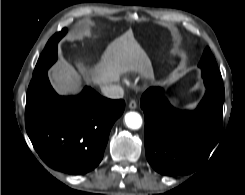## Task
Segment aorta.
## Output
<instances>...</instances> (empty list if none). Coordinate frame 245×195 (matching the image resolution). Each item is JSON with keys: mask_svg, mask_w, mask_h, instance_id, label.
<instances>
[{"mask_svg": "<svg viewBox=\"0 0 245 195\" xmlns=\"http://www.w3.org/2000/svg\"><path fill=\"white\" fill-rule=\"evenodd\" d=\"M125 123L130 129H139L142 125V118L137 112H128L125 115Z\"/></svg>", "mask_w": 245, "mask_h": 195, "instance_id": "obj_1", "label": "aorta"}]
</instances>
